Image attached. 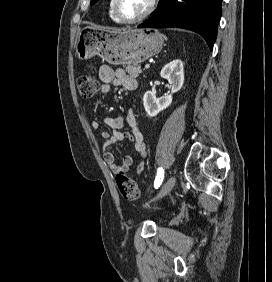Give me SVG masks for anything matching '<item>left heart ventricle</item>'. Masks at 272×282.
<instances>
[{"label": "left heart ventricle", "instance_id": "1", "mask_svg": "<svg viewBox=\"0 0 272 282\" xmlns=\"http://www.w3.org/2000/svg\"><path fill=\"white\" fill-rule=\"evenodd\" d=\"M151 0H119L120 12L129 18L143 14L149 7Z\"/></svg>", "mask_w": 272, "mask_h": 282}]
</instances>
